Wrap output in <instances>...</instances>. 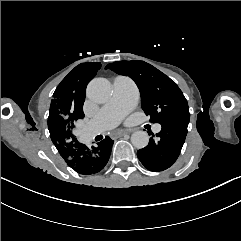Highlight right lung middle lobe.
I'll return each instance as SVG.
<instances>
[{"label": "right lung middle lobe", "instance_id": "1", "mask_svg": "<svg viewBox=\"0 0 241 241\" xmlns=\"http://www.w3.org/2000/svg\"><path fill=\"white\" fill-rule=\"evenodd\" d=\"M99 62L77 65L58 85L51 100L50 112L70 120L81 117L87 84L100 69Z\"/></svg>", "mask_w": 241, "mask_h": 241}]
</instances>
